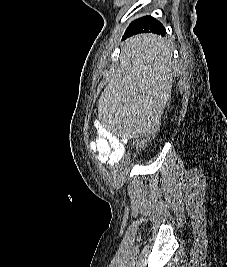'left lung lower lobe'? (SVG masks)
<instances>
[{
	"label": "left lung lower lobe",
	"mask_w": 227,
	"mask_h": 267,
	"mask_svg": "<svg viewBox=\"0 0 227 267\" xmlns=\"http://www.w3.org/2000/svg\"><path fill=\"white\" fill-rule=\"evenodd\" d=\"M139 33H154L156 35L164 36L166 33L165 27L158 20L152 16L141 17L133 21L126 29L123 40ZM144 45L142 40L136 42L135 47Z\"/></svg>",
	"instance_id": "0a47b994"
}]
</instances>
